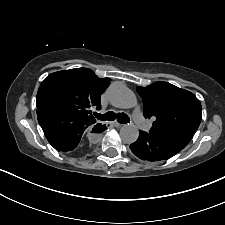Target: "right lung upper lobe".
I'll return each mask as SVG.
<instances>
[{
  "instance_id": "obj_1",
  "label": "right lung upper lobe",
  "mask_w": 225,
  "mask_h": 225,
  "mask_svg": "<svg viewBox=\"0 0 225 225\" xmlns=\"http://www.w3.org/2000/svg\"><path fill=\"white\" fill-rule=\"evenodd\" d=\"M109 84V78H98L86 68L55 72L41 83L36 106L84 118L95 125L91 109L100 110L101 94Z\"/></svg>"
}]
</instances>
